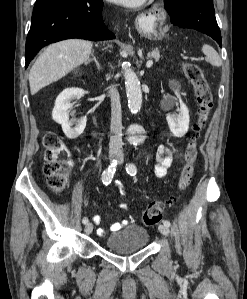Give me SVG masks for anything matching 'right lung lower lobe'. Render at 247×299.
<instances>
[{"label": "right lung lower lobe", "mask_w": 247, "mask_h": 299, "mask_svg": "<svg viewBox=\"0 0 247 299\" xmlns=\"http://www.w3.org/2000/svg\"><path fill=\"white\" fill-rule=\"evenodd\" d=\"M102 8L101 0H65L33 14L26 39L25 67L50 43L70 38L114 39L103 22Z\"/></svg>", "instance_id": "right-lung-lower-lobe-1"}]
</instances>
